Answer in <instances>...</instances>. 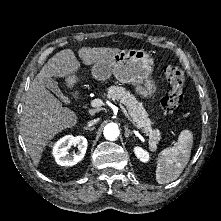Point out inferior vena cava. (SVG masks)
<instances>
[{
    "mask_svg": "<svg viewBox=\"0 0 221 221\" xmlns=\"http://www.w3.org/2000/svg\"><path fill=\"white\" fill-rule=\"evenodd\" d=\"M99 120H100V118H97V119H94V120H90L87 123V126L91 127V126L95 125Z\"/></svg>",
    "mask_w": 221,
    "mask_h": 221,
    "instance_id": "obj_1",
    "label": "inferior vena cava"
}]
</instances>
